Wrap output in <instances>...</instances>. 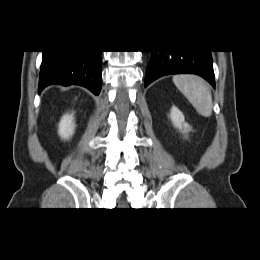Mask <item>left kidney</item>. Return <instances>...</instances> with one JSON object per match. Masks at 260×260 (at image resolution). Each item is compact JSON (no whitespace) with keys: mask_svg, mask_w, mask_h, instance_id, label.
Wrapping results in <instances>:
<instances>
[{"mask_svg":"<svg viewBox=\"0 0 260 260\" xmlns=\"http://www.w3.org/2000/svg\"><path fill=\"white\" fill-rule=\"evenodd\" d=\"M170 119L174 127L179 129L181 132L185 133L190 130L189 124L185 122V117L183 113L175 106L171 108Z\"/></svg>","mask_w":260,"mask_h":260,"instance_id":"obj_1","label":"left kidney"}]
</instances>
